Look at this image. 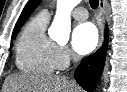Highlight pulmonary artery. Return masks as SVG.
<instances>
[{"label": "pulmonary artery", "instance_id": "e3ab8cb5", "mask_svg": "<svg viewBox=\"0 0 127 92\" xmlns=\"http://www.w3.org/2000/svg\"><path fill=\"white\" fill-rule=\"evenodd\" d=\"M72 15L76 20L80 21L86 20L88 18L87 10L83 7H78L74 9Z\"/></svg>", "mask_w": 127, "mask_h": 92}]
</instances>
